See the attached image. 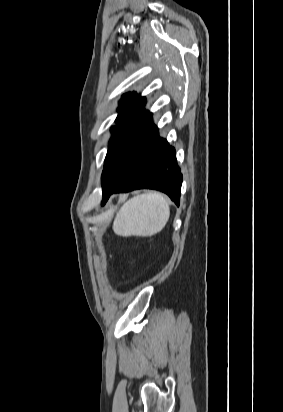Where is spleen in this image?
I'll list each match as a JSON object with an SVG mask.
<instances>
[{
    "label": "spleen",
    "instance_id": "1",
    "mask_svg": "<svg viewBox=\"0 0 283 412\" xmlns=\"http://www.w3.org/2000/svg\"><path fill=\"white\" fill-rule=\"evenodd\" d=\"M169 216V204L162 194H141L120 208L113 222V231L122 237L152 236L165 227Z\"/></svg>",
    "mask_w": 283,
    "mask_h": 412
}]
</instances>
